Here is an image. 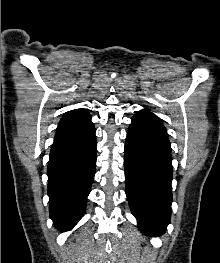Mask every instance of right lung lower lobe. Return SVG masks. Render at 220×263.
I'll return each mask as SVG.
<instances>
[{
	"label": "right lung lower lobe",
	"instance_id": "1",
	"mask_svg": "<svg viewBox=\"0 0 220 263\" xmlns=\"http://www.w3.org/2000/svg\"><path fill=\"white\" fill-rule=\"evenodd\" d=\"M93 126L78 135L56 133L48 162L50 217L61 231L71 229L83 216L96 166Z\"/></svg>",
	"mask_w": 220,
	"mask_h": 263
}]
</instances>
